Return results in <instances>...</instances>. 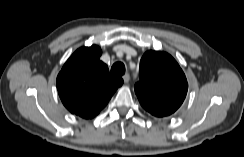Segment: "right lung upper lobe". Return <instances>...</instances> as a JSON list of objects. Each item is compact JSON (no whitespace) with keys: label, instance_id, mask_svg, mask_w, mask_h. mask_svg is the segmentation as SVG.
Instances as JSON below:
<instances>
[{"label":"right lung upper lobe","instance_id":"obj_1","mask_svg":"<svg viewBox=\"0 0 244 157\" xmlns=\"http://www.w3.org/2000/svg\"><path fill=\"white\" fill-rule=\"evenodd\" d=\"M100 47H81L64 64L57 89L64 106L82 118H93L102 110L123 80L109 73L100 61Z\"/></svg>","mask_w":244,"mask_h":157}]
</instances>
